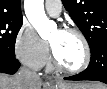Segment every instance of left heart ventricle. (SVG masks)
<instances>
[{
  "mask_svg": "<svg viewBox=\"0 0 107 89\" xmlns=\"http://www.w3.org/2000/svg\"><path fill=\"white\" fill-rule=\"evenodd\" d=\"M58 60L66 67L76 68L84 59V49L80 39L71 33L54 30L49 37Z\"/></svg>",
  "mask_w": 107,
  "mask_h": 89,
  "instance_id": "obj_1",
  "label": "left heart ventricle"
}]
</instances>
